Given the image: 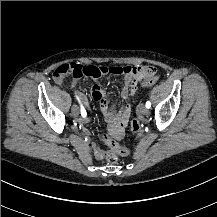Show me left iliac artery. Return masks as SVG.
Masks as SVG:
<instances>
[{
    "mask_svg": "<svg viewBox=\"0 0 217 217\" xmlns=\"http://www.w3.org/2000/svg\"><path fill=\"white\" fill-rule=\"evenodd\" d=\"M145 106L149 109L151 107L150 101H147Z\"/></svg>",
    "mask_w": 217,
    "mask_h": 217,
    "instance_id": "obj_1",
    "label": "left iliac artery"
}]
</instances>
